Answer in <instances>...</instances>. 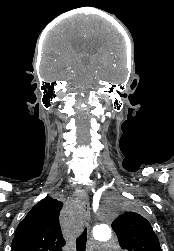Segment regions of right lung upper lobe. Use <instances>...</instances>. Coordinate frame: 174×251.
<instances>
[{"label": "right lung upper lobe", "instance_id": "1", "mask_svg": "<svg viewBox=\"0 0 174 251\" xmlns=\"http://www.w3.org/2000/svg\"><path fill=\"white\" fill-rule=\"evenodd\" d=\"M63 203L46 197L18 225L11 251H62L65 245L59 213Z\"/></svg>", "mask_w": 174, "mask_h": 251}]
</instances>
